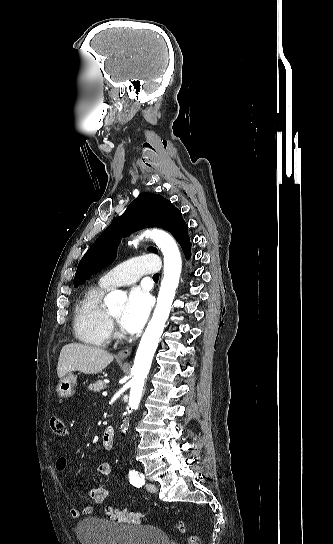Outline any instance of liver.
<instances>
[{
	"mask_svg": "<svg viewBox=\"0 0 333 544\" xmlns=\"http://www.w3.org/2000/svg\"><path fill=\"white\" fill-rule=\"evenodd\" d=\"M113 355L101 348L81 343H70L62 347L58 359L57 374L63 378L67 373L79 371L97 374L112 361Z\"/></svg>",
	"mask_w": 333,
	"mask_h": 544,
	"instance_id": "6515ba94",
	"label": "liver"
}]
</instances>
